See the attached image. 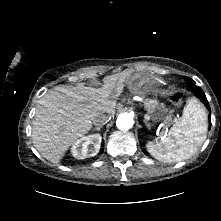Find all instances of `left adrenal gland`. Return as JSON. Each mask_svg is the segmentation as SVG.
<instances>
[{"label":"left adrenal gland","mask_w":221,"mask_h":221,"mask_svg":"<svg viewBox=\"0 0 221 221\" xmlns=\"http://www.w3.org/2000/svg\"><path fill=\"white\" fill-rule=\"evenodd\" d=\"M144 123L146 124V126L148 127V129H150V124L144 120Z\"/></svg>","instance_id":"obj_1"}]
</instances>
